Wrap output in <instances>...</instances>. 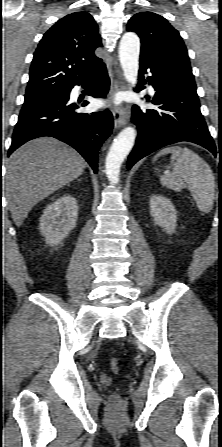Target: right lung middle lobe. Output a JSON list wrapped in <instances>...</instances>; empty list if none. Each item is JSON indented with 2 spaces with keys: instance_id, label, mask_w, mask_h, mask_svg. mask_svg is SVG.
Returning <instances> with one entry per match:
<instances>
[{
  "instance_id": "obj_1",
  "label": "right lung middle lobe",
  "mask_w": 222,
  "mask_h": 447,
  "mask_svg": "<svg viewBox=\"0 0 222 447\" xmlns=\"http://www.w3.org/2000/svg\"><path fill=\"white\" fill-rule=\"evenodd\" d=\"M66 92L40 96H25L21 112L30 111L59 100Z\"/></svg>"
}]
</instances>
